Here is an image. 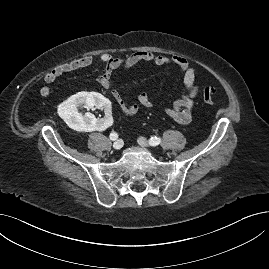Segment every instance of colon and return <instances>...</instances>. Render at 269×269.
Here are the masks:
<instances>
[{
    "label": "colon",
    "mask_w": 269,
    "mask_h": 269,
    "mask_svg": "<svg viewBox=\"0 0 269 269\" xmlns=\"http://www.w3.org/2000/svg\"><path fill=\"white\" fill-rule=\"evenodd\" d=\"M215 90L212 87H205L201 92V98L206 104L214 103Z\"/></svg>",
    "instance_id": "obj_1"
}]
</instances>
